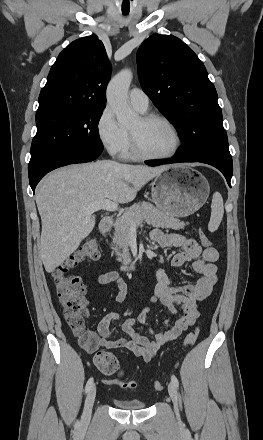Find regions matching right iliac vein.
<instances>
[{
	"instance_id": "obj_1",
	"label": "right iliac vein",
	"mask_w": 263,
	"mask_h": 440,
	"mask_svg": "<svg viewBox=\"0 0 263 440\" xmlns=\"http://www.w3.org/2000/svg\"><path fill=\"white\" fill-rule=\"evenodd\" d=\"M96 397V387L93 386L85 400L84 410L81 417V425L83 427H88L90 420H91V414H92V408Z\"/></svg>"
}]
</instances>
